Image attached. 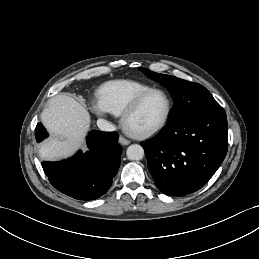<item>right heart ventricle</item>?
I'll return each mask as SVG.
<instances>
[{
    "label": "right heart ventricle",
    "instance_id": "e07e8e85",
    "mask_svg": "<svg viewBox=\"0 0 259 259\" xmlns=\"http://www.w3.org/2000/svg\"><path fill=\"white\" fill-rule=\"evenodd\" d=\"M151 88V86L138 81L115 80L102 86L99 100L109 113L120 116L137 96Z\"/></svg>",
    "mask_w": 259,
    "mask_h": 259
}]
</instances>
